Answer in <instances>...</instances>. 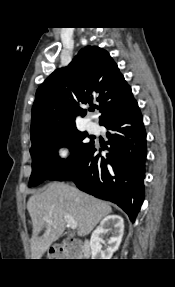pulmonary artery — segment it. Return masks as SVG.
Returning <instances> with one entry per match:
<instances>
[{
  "label": "pulmonary artery",
  "instance_id": "e3ab8cb5",
  "mask_svg": "<svg viewBox=\"0 0 175 287\" xmlns=\"http://www.w3.org/2000/svg\"><path fill=\"white\" fill-rule=\"evenodd\" d=\"M86 127L90 133H96L98 130L97 124L91 121L87 123Z\"/></svg>",
  "mask_w": 175,
  "mask_h": 287
}]
</instances>
